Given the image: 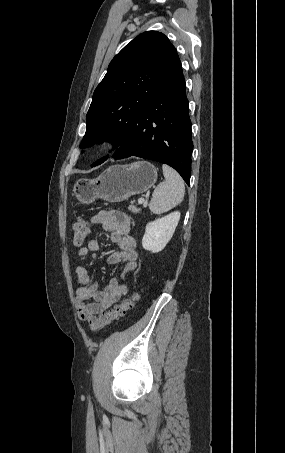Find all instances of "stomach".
<instances>
[{"instance_id":"obj_1","label":"stomach","mask_w":285,"mask_h":453,"mask_svg":"<svg viewBox=\"0 0 285 453\" xmlns=\"http://www.w3.org/2000/svg\"><path fill=\"white\" fill-rule=\"evenodd\" d=\"M156 180L155 166L147 161H138L112 165L95 179L81 178L76 181L73 191L76 198L85 204L98 198L118 203L148 191Z\"/></svg>"}]
</instances>
